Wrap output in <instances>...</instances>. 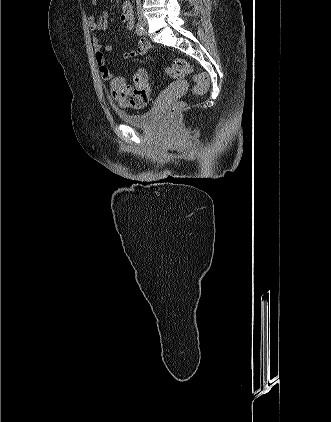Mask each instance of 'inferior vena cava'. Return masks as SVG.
<instances>
[{
	"mask_svg": "<svg viewBox=\"0 0 331 422\" xmlns=\"http://www.w3.org/2000/svg\"><path fill=\"white\" fill-rule=\"evenodd\" d=\"M137 4V10L139 11L141 9V0H136Z\"/></svg>",
	"mask_w": 331,
	"mask_h": 422,
	"instance_id": "inferior-vena-cava-1",
	"label": "inferior vena cava"
}]
</instances>
